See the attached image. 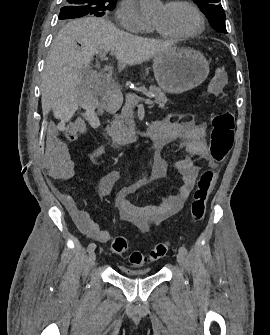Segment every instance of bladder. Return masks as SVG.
<instances>
[{"label":"bladder","mask_w":270,"mask_h":335,"mask_svg":"<svg viewBox=\"0 0 270 335\" xmlns=\"http://www.w3.org/2000/svg\"><path fill=\"white\" fill-rule=\"evenodd\" d=\"M126 273L129 274V275H140V276H143V277H147V276H149L153 273V270L152 269H147V270L138 271V272L127 271Z\"/></svg>","instance_id":"bladder-1"}]
</instances>
